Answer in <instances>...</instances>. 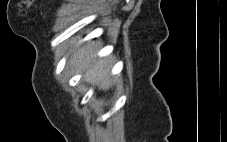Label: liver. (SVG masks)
Returning a JSON list of instances; mask_svg holds the SVG:
<instances>
[{
    "instance_id": "1",
    "label": "liver",
    "mask_w": 227,
    "mask_h": 142,
    "mask_svg": "<svg viewBox=\"0 0 227 142\" xmlns=\"http://www.w3.org/2000/svg\"><path fill=\"white\" fill-rule=\"evenodd\" d=\"M77 44V40H72L68 43L69 51ZM100 45L98 42H90L76 48L68 61L71 68L86 69L85 79L100 83V87L107 89L112 85L113 80L107 79V74L113 64V58H106L99 62L94 61V57L99 51Z\"/></svg>"
}]
</instances>
